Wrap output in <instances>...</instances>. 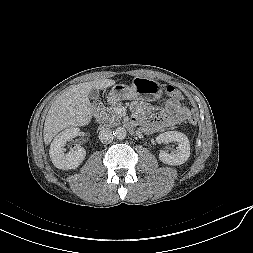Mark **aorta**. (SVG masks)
Here are the masks:
<instances>
[{"mask_svg":"<svg viewBox=\"0 0 253 253\" xmlns=\"http://www.w3.org/2000/svg\"><path fill=\"white\" fill-rule=\"evenodd\" d=\"M113 134H114L115 138H117L119 140H122V139L126 138L127 131L124 127H118V128L115 129Z\"/></svg>","mask_w":253,"mask_h":253,"instance_id":"762f6f07","label":"aorta"}]
</instances>
